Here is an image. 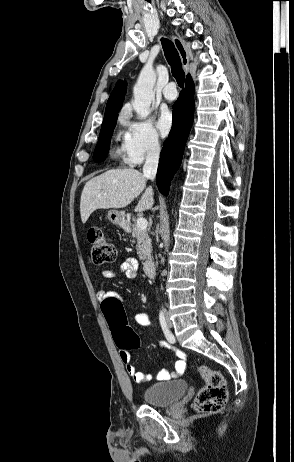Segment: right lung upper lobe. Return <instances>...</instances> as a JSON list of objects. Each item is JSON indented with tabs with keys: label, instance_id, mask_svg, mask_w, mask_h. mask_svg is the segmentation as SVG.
Wrapping results in <instances>:
<instances>
[{
	"label": "right lung upper lobe",
	"instance_id": "obj_1",
	"mask_svg": "<svg viewBox=\"0 0 294 462\" xmlns=\"http://www.w3.org/2000/svg\"><path fill=\"white\" fill-rule=\"evenodd\" d=\"M189 76L190 75H188V77ZM125 88L126 85L124 82L118 81L116 83V86L108 99L104 118L118 114L124 100V94L126 91Z\"/></svg>",
	"mask_w": 294,
	"mask_h": 462
}]
</instances>
